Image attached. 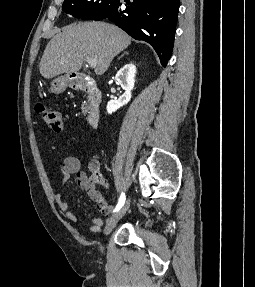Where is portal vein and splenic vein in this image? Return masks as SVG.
<instances>
[{
    "label": "portal vein and splenic vein",
    "instance_id": "1",
    "mask_svg": "<svg viewBox=\"0 0 255 287\" xmlns=\"http://www.w3.org/2000/svg\"><path fill=\"white\" fill-rule=\"evenodd\" d=\"M86 62H88L90 68H96L97 66V58H90V56H87Z\"/></svg>",
    "mask_w": 255,
    "mask_h": 287
}]
</instances>
